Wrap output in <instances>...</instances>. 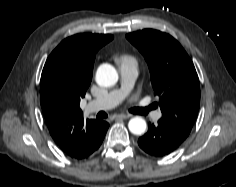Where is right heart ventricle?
I'll return each instance as SVG.
<instances>
[{
  "mask_svg": "<svg viewBox=\"0 0 236 187\" xmlns=\"http://www.w3.org/2000/svg\"><path fill=\"white\" fill-rule=\"evenodd\" d=\"M118 62L120 64H123V63H133V64H136V60L134 57L130 56V55H124V56H121L119 59H118Z\"/></svg>",
  "mask_w": 236,
  "mask_h": 187,
  "instance_id": "1",
  "label": "right heart ventricle"
}]
</instances>
